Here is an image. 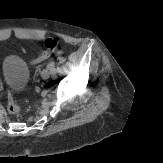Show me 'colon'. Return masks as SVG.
<instances>
[{
  "instance_id": "1",
  "label": "colon",
  "mask_w": 163,
  "mask_h": 163,
  "mask_svg": "<svg viewBox=\"0 0 163 163\" xmlns=\"http://www.w3.org/2000/svg\"><path fill=\"white\" fill-rule=\"evenodd\" d=\"M59 45V39L57 37H48L44 42L45 50L37 59L33 60V63H38L48 59L51 54L56 50ZM7 110L10 114H18L20 112V106L12 94H8Z\"/></svg>"
}]
</instances>
